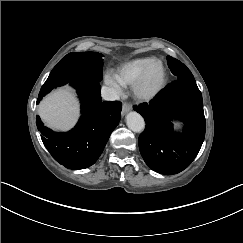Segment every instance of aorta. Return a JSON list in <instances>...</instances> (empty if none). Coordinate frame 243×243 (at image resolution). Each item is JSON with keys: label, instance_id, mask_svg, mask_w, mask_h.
Instances as JSON below:
<instances>
[{"label": "aorta", "instance_id": "1", "mask_svg": "<svg viewBox=\"0 0 243 243\" xmlns=\"http://www.w3.org/2000/svg\"><path fill=\"white\" fill-rule=\"evenodd\" d=\"M127 127L135 133H142L145 130V121L143 117L136 113L131 112L126 117Z\"/></svg>", "mask_w": 243, "mask_h": 243}]
</instances>
